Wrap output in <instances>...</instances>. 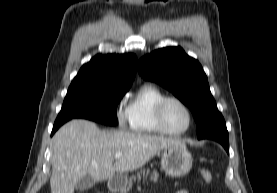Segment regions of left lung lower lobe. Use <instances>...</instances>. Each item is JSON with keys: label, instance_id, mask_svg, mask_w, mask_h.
<instances>
[{"label": "left lung lower lobe", "instance_id": "1", "mask_svg": "<svg viewBox=\"0 0 277 193\" xmlns=\"http://www.w3.org/2000/svg\"><path fill=\"white\" fill-rule=\"evenodd\" d=\"M204 138L213 139L219 142L225 150L229 153V139L227 129L216 130L208 133Z\"/></svg>", "mask_w": 277, "mask_h": 193}]
</instances>
